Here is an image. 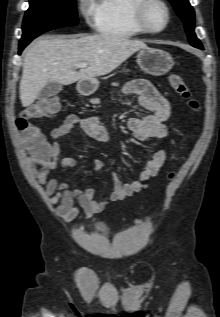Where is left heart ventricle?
Here are the masks:
<instances>
[{"mask_svg":"<svg viewBox=\"0 0 220 317\" xmlns=\"http://www.w3.org/2000/svg\"><path fill=\"white\" fill-rule=\"evenodd\" d=\"M147 18L150 25L154 28H162L166 21V16L163 8L157 4H152L148 8Z\"/></svg>","mask_w":220,"mask_h":317,"instance_id":"b2bd125f","label":"left heart ventricle"}]
</instances>
